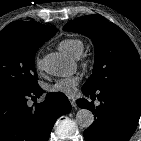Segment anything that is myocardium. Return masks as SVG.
I'll use <instances>...</instances> for the list:
<instances>
[{
  "mask_svg": "<svg viewBox=\"0 0 141 141\" xmlns=\"http://www.w3.org/2000/svg\"><path fill=\"white\" fill-rule=\"evenodd\" d=\"M81 67L83 68V69H87L88 67H89V65H90V62H89V60L88 59H86V58H83L82 60H81Z\"/></svg>",
  "mask_w": 141,
  "mask_h": 141,
  "instance_id": "obj_1",
  "label": "myocardium"
}]
</instances>
